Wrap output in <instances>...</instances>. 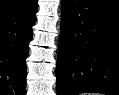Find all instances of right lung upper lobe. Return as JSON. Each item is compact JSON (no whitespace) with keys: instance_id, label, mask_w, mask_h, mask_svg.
<instances>
[{"instance_id":"1","label":"right lung upper lobe","mask_w":119,"mask_h":95,"mask_svg":"<svg viewBox=\"0 0 119 95\" xmlns=\"http://www.w3.org/2000/svg\"><path fill=\"white\" fill-rule=\"evenodd\" d=\"M35 0H0V20L30 6Z\"/></svg>"}]
</instances>
